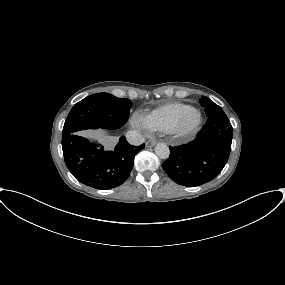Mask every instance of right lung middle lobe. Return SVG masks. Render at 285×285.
<instances>
[{"instance_id": "dd1d6c3e", "label": "right lung middle lobe", "mask_w": 285, "mask_h": 285, "mask_svg": "<svg viewBox=\"0 0 285 285\" xmlns=\"http://www.w3.org/2000/svg\"><path fill=\"white\" fill-rule=\"evenodd\" d=\"M132 102L109 93L90 95L76 103L68 114L63 127V136L76 134L84 129H118L130 114Z\"/></svg>"}]
</instances>
